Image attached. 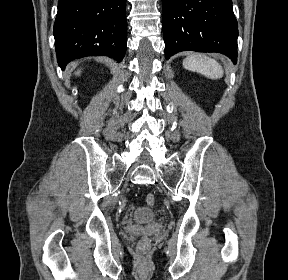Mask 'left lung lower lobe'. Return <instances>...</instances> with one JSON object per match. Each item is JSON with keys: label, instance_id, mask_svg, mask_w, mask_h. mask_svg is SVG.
<instances>
[{"label": "left lung lower lobe", "instance_id": "obj_1", "mask_svg": "<svg viewBox=\"0 0 288 280\" xmlns=\"http://www.w3.org/2000/svg\"><path fill=\"white\" fill-rule=\"evenodd\" d=\"M165 57L219 52L237 61L238 25L232 0H162Z\"/></svg>", "mask_w": 288, "mask_h": 280}]
</instances>
